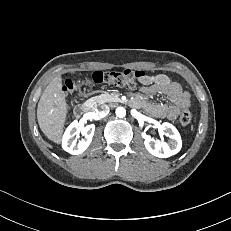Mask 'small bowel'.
Returning <instances> with one entry per match:
<instances>
[{"label":"small bowel","instance_id":"obj_1","mask_svg":"<svg viewBox=\"0 0 231 231\" xmlns=\"http://www.w3.org/2000/svg\"><path fill=\"white\" fill-rule=\"evenodd\" d=\"M142 84L141 95L135 97L132 103L154 117L175 120L180 110L191 104L190 93L179 82L164 74L145 75ZM156 93L165 95L171 104L150 101L149 96Z\"/></svg>","mask_w":231,"mask_h":231}]
</instances>
